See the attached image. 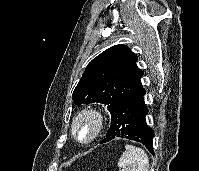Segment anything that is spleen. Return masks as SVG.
I'll use <instances>...</instances> for the list:
<instances>
[{
    "label": "spleen",
    "mask_w": 199,
    "mask_h": 171,
    "mask_svg": "<svg viewBox=\"0 0 199 171\" xmlns=\"http://www.w3.org/2000/svg\"><path fill=\"white\" fill-rule=\"evenodd\" d=\"M117 165L120 171H148L149 159L143 149L127 144Z\"/></svg>",
    "instance_id": "spleen-1"
}]
</instances>
